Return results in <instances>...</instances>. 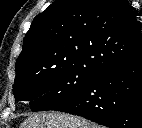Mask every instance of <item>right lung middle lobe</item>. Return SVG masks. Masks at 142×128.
Wrapping results in <instances>:
<instances>
[{
  "label": "right lung middle lobe",
  "mask_w": 142,
  "mask_h": 128,
  "mask_svg": "<svg viewBox=\"0 0 142 128\" xmlns=\"http://www.w3.org/2000/svg\"><path fill=\"white\" fill-rule=\"evenodd\" d=\"M94 75L78 65L44 69L15 79L13 93L17 101H29L32 111L56 110L82 93Z\"/></svg>",
  "instance_id": "right-lung-middle-lobe-1"
}]
</instances>
